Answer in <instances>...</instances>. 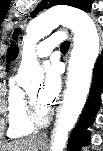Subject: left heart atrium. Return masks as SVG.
Listing matches in <instances>:
<instances>
[{
    "mask_svg": "<svg viewBox=\"0 0 103 151\" xmlns=\"http://www.w3.org/2000/svg\"><path fill=\"white\" fill-rule=\"evenodd\" d=\"M61 86V76L56 65H48L45 68V79L42 83L37 100L44 108L48 109L57 97Z\"/></svg>",
    "mask_w": 103,
    "mask_h": 151,
    "instance_id": "1",
    "label": "left heart atrium"
}]
</instances>
